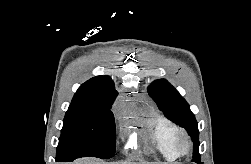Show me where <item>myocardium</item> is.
I'll list each match as a JSON object with an SVG mask.
<instances>
[{"mask_svg": "<svg viewBox=\"0 0 251 164\" xmlns=\"http://www.w3.org/2000/svg\"><path fill=\"white\" fill-rule=\"evenodd\" d=\"M171 147L177 157L184 156L190 152L191 141L184 131H177L173 137Z\"/></svg>", "mask_w": 251, "mask_h": 164, "instance_id": "obj_1", "label": "myocardium"}]
</instances>
